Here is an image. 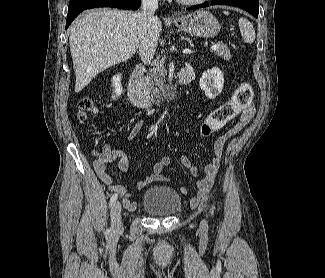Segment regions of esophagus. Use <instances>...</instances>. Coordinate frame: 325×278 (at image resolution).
<instances>
[{
	"mask_svg": "<svg viewBox=\"0 0 325 278\" xmlns=\"http://www.w3.org/2000/svg\"><path fill=\"white\" fill-rule=\"evenodd\" d=\"M171 18H172L173 20H176V19H177V15L172 14Z\"/></svg>",
	"mask_w": 325,
	"mask_h": 278,
	"instance_id": "obj_1",
	"label": "esophagus"
}]
</instances>
